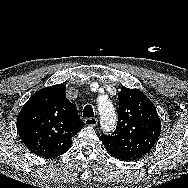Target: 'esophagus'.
I'll return each mask as SVG.
<instances>
[{"instance_id": "obj_1", "label": "esophagus", "mask_w": 188, "mask_h": 188, "mask_svg": "<svg viewBox=\"0 0 188 188\" xmlns=\"http://www.w3.org/2000/svg\"><path fill=\"white\" fill-rule=\"evenodd\" d=\"M86 125L89 126H96L98 124V119L97 118H86L84 120Z\"/></svg>"}]
</instances>
